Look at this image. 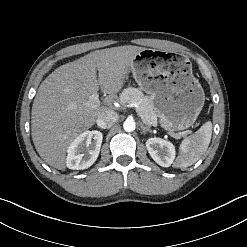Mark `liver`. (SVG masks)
<instances>
[{"label": "liver", "instance_id": "6515ba94", "mask_svg": "<svg viewBox=\"0 0 247 247\" xmlns=\"http://www.w3.org/2000/svg\"><path fill=\"white\" fill-rule=\"evenodd\" d=\"M145 49L126 45L96 50L58 67L40 84L31 111V131L34 146L48 165L66 169L69 145L100 114L111 110L127 68ZM99 88L108 95L92 107L89 96Z\"/></svg>", "mask_w": 247, "mask_h": 247}]
</instances>
